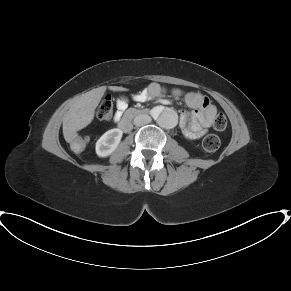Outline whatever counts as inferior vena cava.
Listing matches in <instances>:
<instances>
[{
    "instance_id": "602c4592",
    "label": "inferior vena cava",
    "mask_w": 291,
    "mask_h": 291,
    "mask_svg": "<svg viewBox=\"0 0 291 291\" xmlns=\"http://www.w3.org/2000/svg\"><path fill=\"white\" fill-rule=\"evenodd\" d=\"M151 122V117L147 114H139L134 118V125L137 127L146 125Z\"/></svg>"
}]
</instances>
